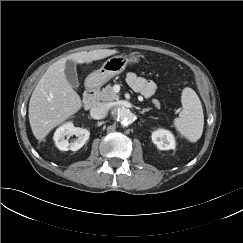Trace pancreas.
<instances>
[{"mask_svg":"<svg viewBox=\"0 0 243 243\" xmlns=\"http://www.w3.org/2000/svg\"><path fill=\"white\" fill-rule=\"evenodd\" d=\"M118 99V94L114 92L113 86L111 84L107 85L98 95V100L101 101H114ZM152 103L157 109H160V102L157 99H153Z\"/></svg>","mask_w":243,"mask_h":243,"instance_id":"pancreas-1","label":"pancreas"}]
</instances>
